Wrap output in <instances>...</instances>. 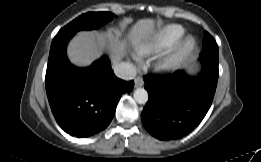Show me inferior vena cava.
I'll return each mask as SVG.
<instances>
[{"instance_id":"602c4592","label":"inferior vena cava","mask_w":261,"mask_h":162,"mask_svg":"<svg viewBox=\"0 0 261 162\" xmlns=\"http://www.w3.org/2000/svg\"><path fill=\"white\" fill-rule=\"evenodd\" d=\"M113 70L115 75L123 80L134 79L137 74L135 67L128 62H120L115 64L113 66Z\"/></svg>"}]
</instances>
